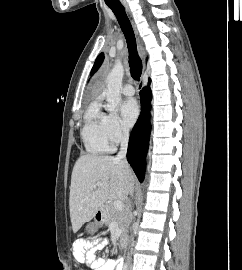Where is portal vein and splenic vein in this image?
Segmentation results:
<instances>
[{
  "instance_id": "1",
  "label": "portal vein and splenic vein",
  "mask_w": 242,
  "mask_h": 270,
  "mask_svg": "<svg viewBox=\"0 0 242 270\" xmlns=\"http://www.w3.org/2000/svg\"><path fill=\"white\" fill-rule=\"evenodd\" d=\"M101 186H103V183H101V182H98L94 185L95 188L101 187ZM113 205H114L115 209L118 211H122L124 209V204L120 200H114Z\"/></svg>"
}]
</instances>
